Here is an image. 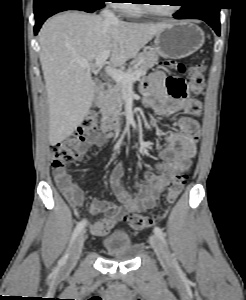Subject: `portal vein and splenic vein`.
<instances>
[{
	"label": "portal vein and splenic vein",
	"instance_id": "18ae733b",
	"mask_svg": "<svg viewBox=\"0 0 246 300\" xmlns=\"http://www.w3.org/2000/svg\"><path fill=\"white\" fill-rule=\"evenodd\" d=\"M110 56V51H105L102 54H100L95 63H88L84 60L77 61L78 65L84 69L90 70L92 68L102 67L106 60ZM106 74L110 77H112L116 82L122 83L124 86L132 85V83L136 80H138L141 76L140 71H135L133 73H126L121 70L112 68L110 66L105 67Z\"/></svg>",
	"mask_w": 246,
	"mask_h": 300
}]
</instances>
